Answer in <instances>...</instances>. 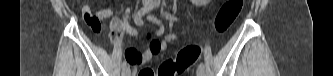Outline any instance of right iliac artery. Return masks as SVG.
Masks as SVG:
<instances>
[{
  "instance_id": "82829eb1",
  "label": "right iliac artery",
  "mask_w": 333,
  "mask_h": 76,
  "mask_svg": "<svg viewBox=\"0 0 333 76\" xmlns=\"http://www.w3.org/2000/svg\"><path fill=\"white\" fill-rule=\"evenodd\" d=\"M160 4L159 0H154V1H150L148 2L144 7H142L138 13H137V17H139L141 19V17L143 15H145L146 13H148L149 11L153 10L154 8L158 7ZM122 69H126L127 68V62L123 61L121 64Z\"/></svg>"
}]
</instances>
